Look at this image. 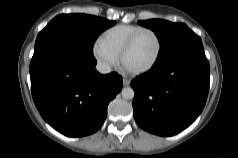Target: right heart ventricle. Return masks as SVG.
<instances>
[{
  "instance_id": "1",
  "label": "right heart ventricle",
  "mask_w": 238,
  "mask_h": 158,
  "mask_svg": "<svg viewBox=\"0 0 238 158\" xmlns=\"http://www.w3.org/2000/svg\"><path fill=\"white\" fill-rule=\"evenodd\" d=\"M143 27L130 24H119L108 28L101 36V41L117 56L120 55L129 38Z\"/></svg>"
}]
</instances>
